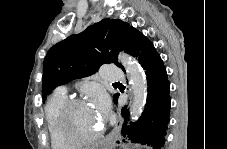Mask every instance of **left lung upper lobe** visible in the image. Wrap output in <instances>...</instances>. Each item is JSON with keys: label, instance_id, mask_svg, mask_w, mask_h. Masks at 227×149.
Masks as SVG:
<instances>
[{"label": "left lung upper lobe", "instance_id": "1", "mask_svg": "<svg viewBox=\"0 0 227 149\" xmlns=\"http://www.w3.org/2000/svg\"><path fill=\"white\" fill-rule=\"evenodd\" d=\"M133 30L119 19H103L54 45L43 64V101L57 86L94 74L102 64L114 63L123 68L117 55L122 50L127 52Z\"/></svg>", "mask_w": 227, "mask_h": 149}]
</instances>
